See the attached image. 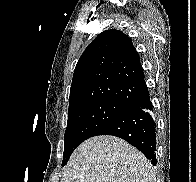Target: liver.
Segmentation results:
<instances>
[{
	"label": "liver",
	"instance_id": "6515ba94",
	"mask_svg": "<svg viewBox=\"0 0 196 182\" xmlns=\"http://www.w3.org/2000/svg\"><path fill=\"white\" fill-rule=\"evenodd\" d=\"M61 182H155L146 157L123 139L95 136L71 155Z\"/></svg>",
	"mask_w": 196,
	"mask_h": 182
}]
</instances>
